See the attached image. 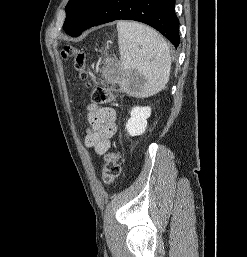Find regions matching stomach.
I'll return each mask as SVG.
<instances>
[{
    "instance_id": "obj_1",
    "label": "stomach",
    "mask_w": 247,
    "mask_h": 257,
    "mask_svg": "<svg viewBox=\"0 0 247 257\" xmlns=\"http://www.w3.org/2000/svg\"><path fill=\"white\" fill-rule=\"evenodd\" d=\"M113 81L119 83V82H120V74H119V76H118L116 79H114ZM130 85H131V82L128 81V82L126 83L125 87L128 89V88L130 87Z\"/></svg>"
}]
</instances>
